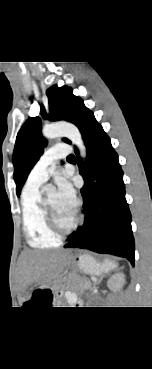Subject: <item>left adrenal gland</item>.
Listing matches in <instances>:
<instances>
[{
	"mask_svg": "<svg viewBox=\"0 0 152 369\" xmlns=\"http://www.w3.org/2000/svg\"><path fill=\"white\" fill-rule=\"evenodd\" d=\"M104 276H105V275H102V276L98 279V281L94 284V287H96L97 285H99V284L101 283V281L103 280Z\"/></svg>",
	"mask_w": 152,
	"mask_h": 369,
	"instance_id": "obj_1",
	"label": "left adrenal gland"
}]
</instances>
